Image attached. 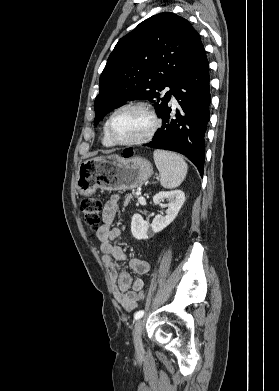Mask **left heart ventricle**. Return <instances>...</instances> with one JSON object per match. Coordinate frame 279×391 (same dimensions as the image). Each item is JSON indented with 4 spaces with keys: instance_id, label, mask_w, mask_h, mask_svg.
Here are the masks:
<instances>
[{
    "instance_id": "1",
    "label": "left heart ventricle",
    "mask_w": 279,
    "mask_h": 391,
    "mask_svg": "<svg viewBox=\"0 0 279 391\" xmlns=\"http://www.w3.org/2000/svg\"><path fill=\"white\" fill-rule=\"evenodd\" d=\"M149 116L140 109L128 108L118 112L111 124V134L118 141L135 140L150 128Z\"/></svg>"
}]
</instances>
